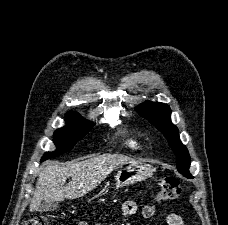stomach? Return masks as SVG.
Wrapping results in <instances>:
<instances>
[{"mask_svg":"<svg viewBox=\"0 0 228 225\" xmlns=\"http://www.w3.org/2000/svg\"><path fill=\"white\" fill-rule=\"evenodd\" d=\"M153 173L154 169H152L151 165L140 163V161L129 163L124 169H118L115 177L116 189H122V187H129L133 183L145 181L148 177H152Z\"/></svg>","mask_w":228,"mask_h":225,"instance_id":"1","label":"stomach"}]
</instances>
